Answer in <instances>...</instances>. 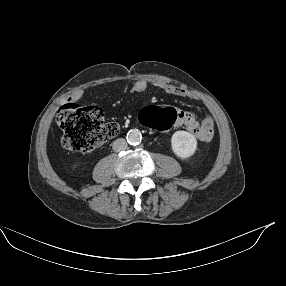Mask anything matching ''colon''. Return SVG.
<instances>
[{"instance_id": "colon-1", "label": "colon", "mask_w": 286, "mask_h": 286, "mask_svg": "<svg viewBox=\"0 0 286 286\" xmlns=\"http://www.w3.org/2000/svg\"><path fill=\"white\" fill-rule=\"evenodd\" d=\"M177 121L176 112L169 107H145L140 114L139 124L157 132H170ZM56 122L62 130V145L72 152L88 153L119 132L116 122L108 121L97 106L82 107L65 103L57 111Z\"/></svg>"}]
</instances>
